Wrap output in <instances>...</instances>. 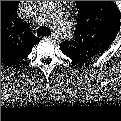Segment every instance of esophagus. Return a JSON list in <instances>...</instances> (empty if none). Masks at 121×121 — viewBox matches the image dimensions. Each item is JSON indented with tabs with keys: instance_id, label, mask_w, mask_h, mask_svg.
Returning a JSON list of instances; mask_svg holds the SVG:
<instances>
[{
	"instance_id": "1",
	"label": "esophagus",
	"mask_w": 121,
	"mask_h": 121,
	"mask_svg": "<svg viewBox=\"0 0 121 121\" xmlns=\"http://www.w3.org/2000/svg\"><path fill=\"white\" fill-rule=\"evenodd\" d=\"M51 36L55 37V34H54V33H52V35H51Z\"/></svg>"
}]
</instances>
